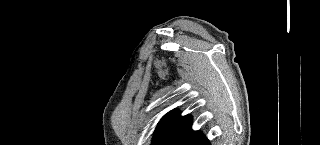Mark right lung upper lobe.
Segmentation results:
<instances>
[{
  "label": "right lung upper lobe",
  "mask_w": 320,
  "mask_h": 145,
  "mask_svg": "<svg viewBox=\"0 0 320 145\" xmlns=\"http://www.w3.org/2000/svg\"><path fill=\"white\" fill-rule=\"evenodd\" d=\"M192 118L180 117L178 111L172 110L160 120L155 131L157 136H177L191 128Z\"/></svg>",
  "instance_id": "cb5924a9"
}]
</instances>
